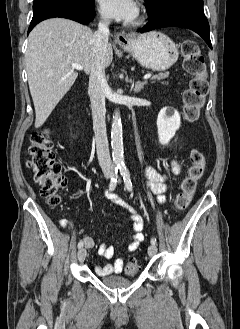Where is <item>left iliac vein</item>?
<instances>
[{
  "label": "left iliac vein",
  "instance_id": "4c4485c4",
  "mask_svg": "<svg viewBox=\"0 0 240 329\" xmlns=\"http://www.w3.org/2000/svg\"><path fill=\"white\" fill-rule=\"evenodd\" d=\"M157 252V248L155 245L151 244L149 247H148V255L150 257L154 256Z\"/></svg>",
  "mask_w": 240,
  "mask_h": 329
}]
</instances>
